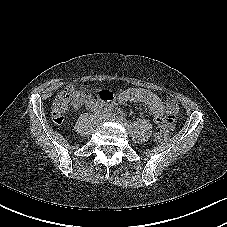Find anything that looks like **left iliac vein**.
Wrapping results in <instances>:
<instances>
[{
    "label": "left iliac vein",
    "instance_id": "left-iliac-vein-1",
    "mask_svg": "<svg viewBox=\"0 0 227 227\" xmlns=\"http://www.w3.org/2000/svg\"><path fill=\"white\" fill-rule=\"evenodd\" d=\"M115 120L116 122L122 124L123 126H125L127 128L128 133H131V130L126 126L125 122L122 121L120 118H116V119H112Z\"/></svg>",
    "mask_w": 227,
    "mask_h": 227
}]
</instances>
